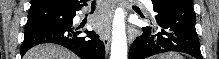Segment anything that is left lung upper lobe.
Wrapping results in <instances>:
<instances>
[{
    "mask_svg": "<svg viewBox=\"0 0 219 59\" xmlns=\"http://www.w3.org/2000/svg\"><path fill=\"white\" fill-rule=\"evenodd\" d=\"M183 0H152L153 3H177Z\"/></svg>",
    "mask_w": 219,
    "mask_h": 59,
    "instance_id": "left-lung-upper-lobe-1",
    "label": "left lung upper lobe"
}]
</instances>
